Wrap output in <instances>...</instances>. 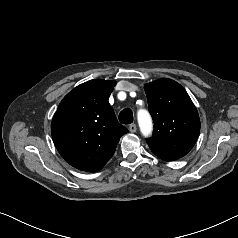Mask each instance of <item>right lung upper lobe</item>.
<instances>
[{
    "label": "right lung upper lobe",
    "instance_id": "obj_1",
    "mask_svg": "<svg viewBox=\"0 0 238 238\" xmlns=\"http://www.w3.org/2000/svg\"><path fill=\"white\" fill-rule=\"evenodd\" d=\"M115 81L94 79L75 87L59 104L51 134L73 167L97 172L112 157L127 128L118 123L108 99Z\"/></svg>",
    "mask_w": 238,
    "mask_h": 238
}]
</instances>
